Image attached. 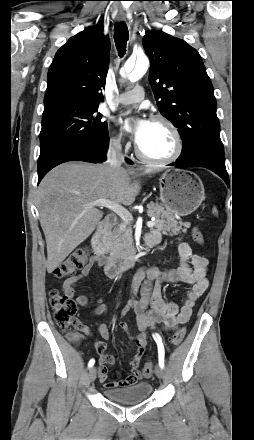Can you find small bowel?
Returning <instances> with one entry per match:
<instances>
[{
  "label": "small bowel",
  "instance_id": "small-bowel-1",
  "mask_svg": "<svg viewBox=\"0 0 254 440\" xmlns=\"http://www.w3.org/2000/svg\"><path fill=\"white\" fill-rule=\"evenodd\" d=\"M161 240V234L153 230L144 238L147 246H156ZM177 248L180 255V266L168 271H159L156 268H141L134 277L132 295L140 294V299H131L123 309L127 312L132 308L136 315L141 330L140 334H133L129 331L125 322L120 323V327L125 330L135 345V352L130 359L131 374L122 380L108 381V365L115 362V357L106 353V343L110 338V330L105 324L97 326V332L101 340L95 342L94 347L99 356V380L104 383L106 389L124 387L137 383L141 379L139 370L140 362L147 345V333L149 329H154L156 325H162L166 330H175L180 325L189 321L193 307L199 298L208 289L206 277L208 260L193 254L191 247L186 242H178ZM104 260L98 256H93L77 275L68 278L62 285L63 292L70 298L75 296L76 286L84 277L88 276L94 268L101 267ZM167 283L184 284L187 286L186 295L179 307L173 301L164 299L162 290ZM78 305L87 307L89 299L85 295H78L75 298ZM98 306L92 309L93 314H106L107 307L98 301Z\"/></svg>",
  "mask_w": 254,
  "mask_h": 440
}]
</instances>
